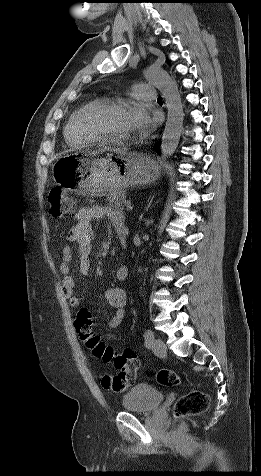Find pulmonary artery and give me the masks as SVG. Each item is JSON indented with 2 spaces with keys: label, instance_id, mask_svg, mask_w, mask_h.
<instances>
[{
  "label": "pulmonary artery",
  "instance_id": "obj_1",
  "mask_svg": "<svg viewBox=\"0 0 261 476\" xmlns=\"http://www.w3.org/2000/svg\"><path fill=\"white\" fill-rule=\"evenodd\" d=\"M133 95L137 99L152 101L156 99L155 89L151 84L137 83L133 87Z\"/></svg>",
  "mask_w": 261,
  "mask_h": 476
}]
</instances>
